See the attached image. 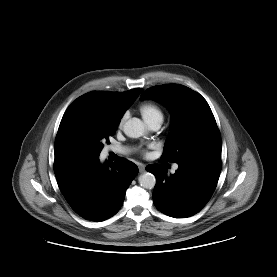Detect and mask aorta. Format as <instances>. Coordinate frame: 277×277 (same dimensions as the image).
I'll use <instances>...</instances> for the list:
<instances>
[{"mask_svg":"<svg viewBox=\"0 0 277 277\" xmlns=\"http://www.w3.org/2000/svg\"><path fill=\"white\" fill-rule=\"evenodd\" d=\"M123 131L130 138H139L145 133V125L140 119L132 118L124 124ZM138 181L145 189H153L156 184L155 176L149 172L141 174Z\"/></svg>","mask_w":277,"mask_h":277,"instance_id":"1","label":"aorta"}]
</instances>
